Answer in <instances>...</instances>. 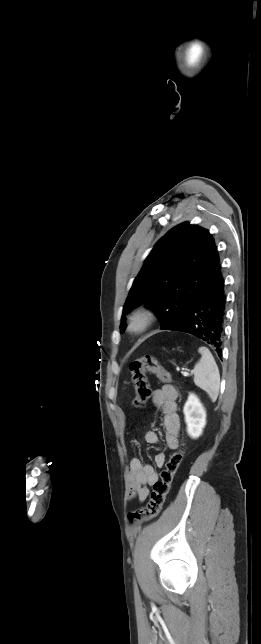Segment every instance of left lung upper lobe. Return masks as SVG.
<instances>
[{
  "label": "left lung upper lobe",
  "mask_w": 261,
  "mask_h": 644,
  "mask_svg": "<svg viewBox=\"0 0 261 644\" xmlns=\"http://www.w3.org/2000/svg\"><path fill=\"white\" fill-rule=\"evenodd\" d=\"M221 267L212 235L182 223L155 245L135 278L123 307L125 314L141 304L158 314L161 329L175 322L207 287Z\"/></svg>",
  "instance_id": "1"
}]
</instances>
